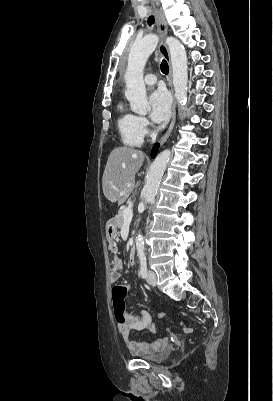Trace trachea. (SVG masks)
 I'll list each match as a JSON object with an SVG mask.
<instances>
[{"mask_svg":"<svg viewBox=\"0 0 273 401\" xmlns=\"http://www.w3.org/2000/svg\"><path fill=\"white\" fill-rule=\"evenodd\" d=\"M154 22H155L154 17H153V16L150 17L149 20H148V24H149V25H153ZM160 67H161L162 73H165V74L167 75L168 72H169V66H168V63H167L166 60H163V61H162Z\"/></svg>","mask_w":273,"mask_h":401,"instance_id":"trachea-1","label":"trachea"}]
</instances>
